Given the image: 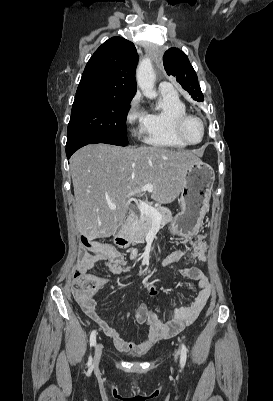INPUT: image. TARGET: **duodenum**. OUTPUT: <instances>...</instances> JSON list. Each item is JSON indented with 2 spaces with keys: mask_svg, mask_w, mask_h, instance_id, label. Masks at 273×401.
<instances>
[{
  "mask_svg": "<svg viewBox=\"0 0 273 401\" xmlns=\"http://www.w3.org/2000/svg\"><path fill=\"white\" fill-rule=\"evenodd\" d=\"M134 219H135V214L134 213L131 212V213H129L127 215V217L125 219V222H124V225H123L122 229L119 231V233L117 234V237H116V243L119 246L122 247V246H125L128 243V239H127V236H126V228L131 222H133ZM136 256H137V252L135 250H133L131 252V259H135Z\"/></svg>",
  "mask_w": 273,
  "mask_h": 401,
  "instance_id": "410a0bca",
  "label": "duodenum"
}]
</instances>
